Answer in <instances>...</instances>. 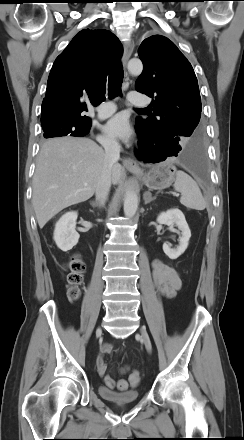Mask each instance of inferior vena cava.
<instances>
[{
    "label": "inferior vena cava",
    "instance_id": "602c4592",
    "mask_svg": "<svg viewBox=\"0 0 244 440\" xmlns=\"http://www.w3.org/2000/svg\"><path fill=\"white\" fill-rule=\"evenodd\" d=\"M102 146L105 150L104 168L95 190L96 200L100 205H104L108 198L112 182L111 169L120 158V145L115 139L104 140Z\"/></svg>",
    "mask_w": 244,
    "mask_h": 440
}]
</instances>
